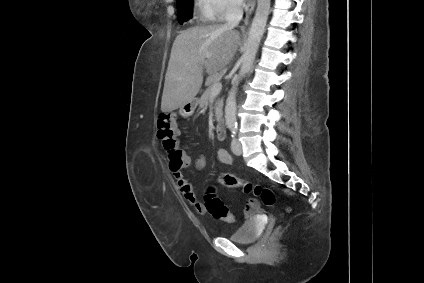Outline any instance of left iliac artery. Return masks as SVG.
Returning a JSON list of instances; mask_svg holds the SVG:
<instances>
[{
  "mask_svg": "<svg viewBox=\"0 0 424 283\" xmlns=\"http://www.w3.org/2000/svg\"><path fill=\"white\" fill-rule=\"evenodd\" d=\"M230 130H231L232 137H234L237 132V125H231Z\"/></svg>",
  "mask_w": 424,
  "mask_h": 283,
  "instance_id": "obj_1",
  "label": "left iliac artery"
}]
</instances>
